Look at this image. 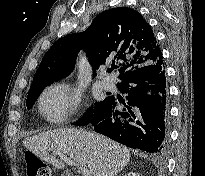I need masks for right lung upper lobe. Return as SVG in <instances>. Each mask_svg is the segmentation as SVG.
Segmentation results:
<instances>
[{
  "label": "right lung upper lobe",
  "instance_id": "cb5924a9",
  "mask_svg": "<svg viewBox=\"0 0 205 176\" xmlns=\"http://www.w3.org/2000/svg\"><path fill=\"white\" fill-rule=\"evenodd\" d=\"M81 48L94 72L106 61L116 62L120 79L140 66L163 61L154 33L141 14L127 7L113 8L96 16L85 32L55 42L45 53L29 92L69 75Z\"/></svg>",
  "mask_w": 205,
  "mask_h": 176
}]
</instances>
